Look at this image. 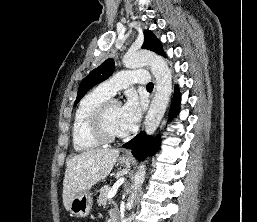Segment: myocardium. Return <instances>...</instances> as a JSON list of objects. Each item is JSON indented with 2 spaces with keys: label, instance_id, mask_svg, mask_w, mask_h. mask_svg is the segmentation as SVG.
I'll return each instance as SVG.
<instances>
[{
  "label": "myocardium",
  "instance_id": "myocardium-1",
  "mask_svg": "<svg viewBox=\"0 0 257 222\" xmlns=\"http://www.w3.org/2000/svg\"><path fill=\"white\" fill-rule=\"evenodd\" d=\"M116 105H120V102L117 99L109 98L102 102L91 115L90 129L100 143H113L124 138L122 135L111 134L106 127L107 115Z\"/></svg>",
  "mask_w": 257,
  "mask_h": 222
}]
</instances>
